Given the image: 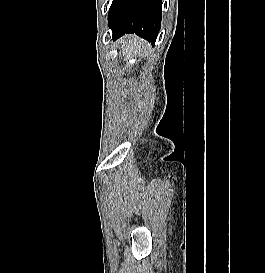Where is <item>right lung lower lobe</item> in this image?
<instances>
[{"mask_svg": "<svg viewBox=\"0 0 265 273\" xmlns=\"http://www.w3.org/2000/svg\"><path fill=\"white\" fill-rule=\"evenodd\" d=\"M162 0H115L109 10L113 39L135 33L152 44L161 26Z\"/></svg>", "mask_w": 265, "mask_h": 273, "instance_id": "98d812e1", "label": "right lung lower lobe"}]
</instances>
